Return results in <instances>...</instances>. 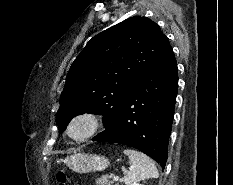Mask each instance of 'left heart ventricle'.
Returning <instances> with one entry per match:
<instances>
[{"label":"left heart ventricle","instance_id":"obj_1","mask_svg":"<svg viewBox=\"0 0 233 185\" xmlns=\"http://www.w3.org/2000/svg\"><path fill=\"white\" fill-rule=\"evenodd\" d=\"M89 128L90 124L88 121L79 120L73 125L71 129V134L74 137H81L88 132Z\"/></svg>","mask_w":233,"mask_h":185}]
</instances>
